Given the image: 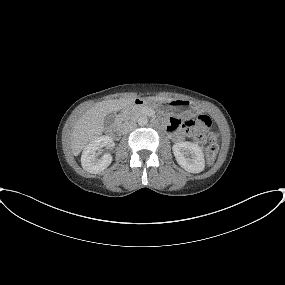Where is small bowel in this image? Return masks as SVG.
<instances>
[{
    "label": "small bowel",
    "mask_w": 285,
    "mask_h": 285,
    "mask_svg": "<svg viewBox=\"0 0 285 285\" xmlns=\"http://www.w3.org/2000/svg\"><path fill=\"white\" fill-rule=\"evenodd\" d=\"M168 131L171 133V137L174 140H182L184 138V133L181 129L177 128L176 122L174 120L170 121L168 126Z\"/></svg>",
    "instance_id": "c3829d8e"
}]
</instances>
